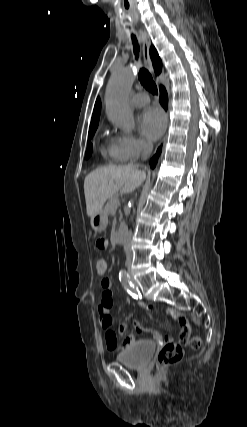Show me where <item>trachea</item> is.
I'll return each mask as SVG.
<instances>
[{"label":"trachea","mask_w":247,"mask_h":427,"mask_svg":"<svg viewBox=\"0 0 247 427\" xmlns=\"http://www.w3.org/2000/svg\"><path fill=\"white\" fill-rule=\"evenodd\" d=\"M131 37H132V42L134 45V54H135L136 59H138V56H139L138 41H137V38L135 35L132 34ZM138 78H139L141 84L146 88V90H148L152 94H157V86L154 83L151 74L145 68L140 69V71L138 73Z\"/></svg>","instance_id":"trachea-1"}]
</instances>
